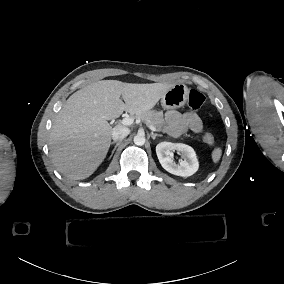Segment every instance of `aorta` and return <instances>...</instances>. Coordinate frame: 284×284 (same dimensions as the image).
Instances as JSON below:
<instances>
[{"label": "aorta", "mask_w": 284, "mask_h": 284, "mask_svg": "<svg viewBox=\"0 0 284 284\" xmlns=\"http://www.w3.org/2000/svg\"><path fill=\"white\" fill-rule=\"evenodd\" d=\"M134 143L136 144V145H138V146H142V145H144V143H145V136H143V135H136L135 137H134Z\"/></svg>", "instance_id": "762f6f07"}]
</instances>
